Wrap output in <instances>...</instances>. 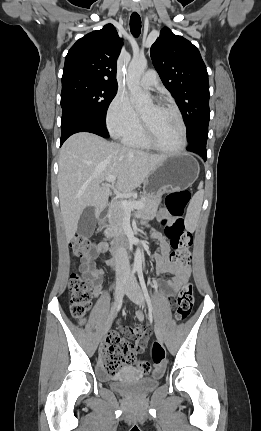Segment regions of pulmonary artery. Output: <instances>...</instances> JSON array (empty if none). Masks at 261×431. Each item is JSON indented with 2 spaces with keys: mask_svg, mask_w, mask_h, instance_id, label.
<instances>
[{
  "mask_svg": "<svg viewBox=\"0 0 261 431\" xmlns=\"http://www.w3.org/2000/svg\"><path fill=\"white\" fill-rule=\"evenodd\" d=\"M140 82L144 87H147V88H152L156 86L158 84V77H157L156 71L155 70L146 71L142 75Z\"/></svg>",
  "mask_w": 261,
  "mask_h": 431,
  "instance_id": "obj_1",
  "label": "pulmonary artery"
}]
</instances>
